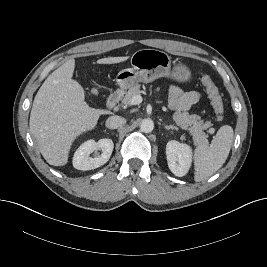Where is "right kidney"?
Wrapping results in <instances>:
<instances>
[{
	"label": "right kidney",
	"instance_id": "ca27d5eb",
	"mask_svg": "<svg viewBox=\"0 0 267 267\" xmlns=\"http://www.w3.org/2000/svg\"><path fill=\"white\" fill-rule=\"evenodd\" d=\"M114 148L113 141L108 138L100 139L98 142L88 140L76 150L73 157V166L78 170H92L104 165L112 154ZM101 150V155L91 157L94 151Z\"/></svg>",
	"mask_w": 267,
	"mask_h": 267
}]
</instances>
